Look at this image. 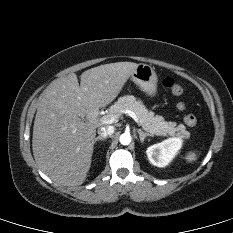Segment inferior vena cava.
<instances>
[{
    "mask_svg": "<svg viewBox=\"0 0 233 233\" xmlns=\"http://www.w3.org/2000/svg\"><path fill=\"white\" fill-rule=\"evenodd\" d=\"M114 130V126L101 127L98 130V134L100 137L106 138L107 136H111L114 133Z\"/></svg>",
    "mask_w": 233,
    "mask_h": 233,
    "instance_id": "obj_1",
    "label": "inferior vena cava"
}]
</instances>
